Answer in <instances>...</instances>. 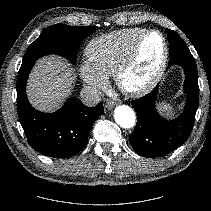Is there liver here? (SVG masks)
Segmentation results:
<instances>
[{
	"mask_svg": "<svg viewBox=\"0 0 211 211\" xmlns=\"http://www.w3.org/2000/svg\"><path fill=\"white\" fill-rule=\"evenodd\" d=\"M72 69L61 57L51 55L37 61L28 84L31 105L42 112L57 110L72 91Z\"/></svg>",
	"mask_w": 211,
	"mask_h": 211,
	"instance_id": "1",
	"label": "liver"
}]
</instances>
